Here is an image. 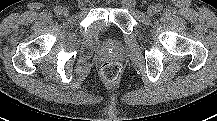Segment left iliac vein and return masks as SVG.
<instances>
[{
	"instance_id": "4c4485c4",
	"label": "left iliac vein",
	"mask_w": 217,
	"mask_h": 121,
	"mask_svg": "<svg viewBox=\"0 0 217 121\" xmlns=\"http://www.w3.org/2000/svg\"><path fill=\"white\" fill-rule=\"evenodd\" d=\"M156 12V9L154 6H149L148 9H147V14L148 16H153Z\"/></svg>"
}]
</instances>
